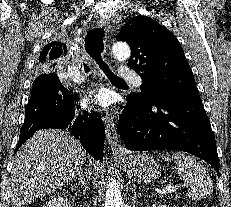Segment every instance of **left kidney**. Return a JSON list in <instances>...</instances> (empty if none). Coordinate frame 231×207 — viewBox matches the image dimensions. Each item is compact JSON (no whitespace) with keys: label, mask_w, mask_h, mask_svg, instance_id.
Masks as SVG:
<instances>
[{"label":"left kidney","mask_w":231,"mask_h":207,"mask_svg":"<svg viewBox=\"0 0 231 207\" xmlns=\"http://www.w3.org/2000/svg\"><path fill=\"white\" fill-rule=\"evenodd\" d=\"M152 207H167L166 205H162V204H153Z\"/></svg>","instance_id":"1"}]
</instances>
